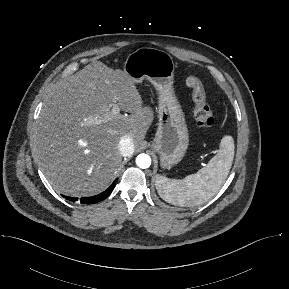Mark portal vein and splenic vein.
<instances>
[{
	"label": "portal vein and splenic vein",
	"mask_w": 289,
	"mask_h": 289,
	"mask_svg": "<svg viewBox=\"0 0 289 289\" xmlns=\"http://www.w3.org/2000/svg\"><path fill=\"white\" fill-rule=\"evenodd\" d=\"M119 112H120V108H119L117 105H115V106L111 109L110 113H109L107 116H105L103 119L96 118V119L94 120V122L98 124V123H101L102 121L109 120V119H111L112 117H114V116H116L117 114H119Z\"/></svg>",
	"instance_id": "portal-vein-and-splenic-vein-1"
}]
</instances>
